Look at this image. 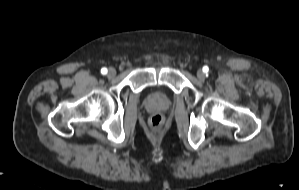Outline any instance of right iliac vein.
<instances>
[{"label": "right iliac vein", "mask_w": 299, "mask_h": 190, "mask_svg": "<svg viewBox=\"0 0 299 190\" xmlns=\"http://www.w3.org/2000/svg\"><path fill=\"white\" fill-rule=\"evenodd\" d=\"M115 75H116V70L114 68H109V70H108V76L110 78H113V77H115Z\"/></svg>", "instance_id": "63e3f726"}]
</instances>
